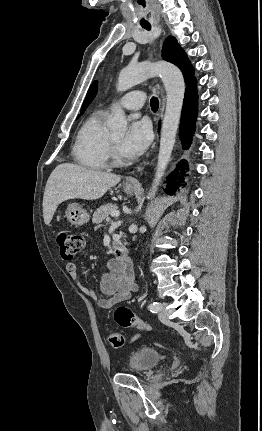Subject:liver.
Wrapping results in <instances>:
<instances>
[{"mask_svg":"<svg viewBox=\"0 0 262 431\" xmlns=\"http://www.w3.org/2000/svg\"><path fill=\"white\" fill-rule=\"evenodd\" d=\"M121 180L119 175L71 163L59 164L49 176L43 196L44 223L49 225L59 204L70 199L96 200Z\"/></svg>","mask_w":262,"mask_h":431,"instance_id":"6515ba94","label":"liver"}]
</instances>
